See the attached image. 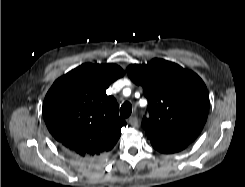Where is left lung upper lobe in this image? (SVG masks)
<instances>
[{"label":"left lung upper lobe","instance_id":"5c2ea615","mask_svg":"<svg viewBox=\"0 0 245 187\" xmlns=\"http://www.w3.org/2000/svg\"><path fill=\"white\" fill-rule=\"evenodd\" d=\"M127 73L149 100L150 118L144 117L142 125L151 142L190 144L198 137L207 120L209 95L197 74L162 59L130 65Z\"/></svg>","mask_w":245,"mask_h":187}]
</instances>
